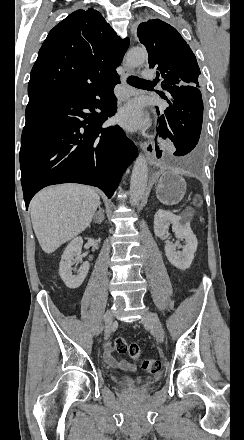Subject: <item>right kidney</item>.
I'll return each instance as SVG.
<instances>
[{"instance_id": "ca27d5eb", "label": "right kidney", "mask_w": 244, "mask_h": 440, "mask_svg": "<svg viewBox=\"0 0 244 440\" xmlns=\"http://www.w3.org/2000/svg\"><path fill=\"white\" fill-rule=\"evenodd\" d=\"M82 246V238H74V240L68 244L66 250H64L61 256L59 266L60 278L63 280L65 286H67V288H71V290H75V288H79V286L83 284L90 268L89 262H83L79 270V274L73 276L72 266L74 262H80L78 256L81 254Z\"/></svg>"}]
</instances>
